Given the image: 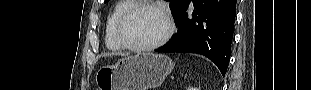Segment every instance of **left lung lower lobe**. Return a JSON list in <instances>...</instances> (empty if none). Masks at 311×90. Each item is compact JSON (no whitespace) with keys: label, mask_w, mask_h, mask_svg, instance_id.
Returning <instances> with one entry per match:
<instances>
[{"label":"left lung lower lobe","mask_w":311,"mask_h":90,"mask_svg":"<svg viewBox=\"0 0 311 90\" xmlns=\"http://www.w3.org/2000/svg\"><path fill=\"white\" fill-rule=\"evenodd\" d=\"M194 11L186 8L177 18L175 37L156 52L197 53L209 58L221 71L228 68L237 0H193Z\"/></svg>","instance_id":"0a47b994"}]
</instances>
